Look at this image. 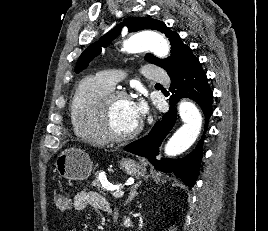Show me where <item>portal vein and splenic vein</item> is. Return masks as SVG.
<instances>
[{
    "mask_svg": "<svg viewBox=\"0 0 268 231\" xmlns=\"http://www.w3.org/2000/svg\"><path fill=\"white\" fill-rule=\"evenodd\" d=\"M108 190L114 191L112 195L115 198H121L124 195L123 190H121L120 188H115L112 185L108 186Z\"/></svg>",
    "mask_w": 268,
    "mask_h": 231,
    "instance_id": "portal-vein-and-splenic-vein-1",
    "label": "portal vein and splenic vein"
}]
</instances>
